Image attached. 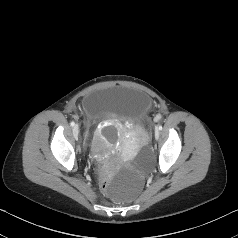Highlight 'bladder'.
Segmentation results:
<instances>
[{
    "instance_id": "1",
    "label": "bladder",
    "mask_w": 238,
    "mask_h": 238,
    "mask_svg": "<svg viewBox=\"0 0 238 238\" xmlns=\"http://www.w3.org/2000/svg\"><path fill=\"white\" fill-rule=\"evenodd\" d=\"M84 105V112L91 114L97 123L115 118L138 125L141 116L149 115L151 100L147 95L132 89L111 87L86 98Z\"/></svg>"
}]
</instances>
